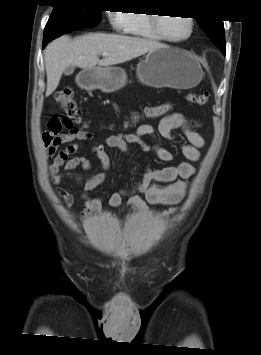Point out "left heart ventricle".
<instances>
[{"mask_svg":"<svg viewBox=\"0 0 261 355\" xmlns=\"http://www.w3.org/2000/svg\"><path fill=\"white\" fill-rule=\"evenodd\" d=\"M163 33L173 39H179L188 35L190 26L186 17H167L161 20Z\"/></svg>","mask_w":261,"mask_h":355,"instance_id":"b2bd125f","label":"left heart ventricle"}]
</instances>
